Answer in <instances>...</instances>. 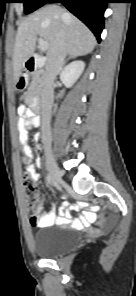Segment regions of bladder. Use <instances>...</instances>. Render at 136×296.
<instances>
[{
  "label": "bladder",
  "instance_id": "obj_1",
  "mask_svg": "<svg viewBox=\"0 0 136 296\" xmlns=\"http://www.w3.org/2000/svg\"><path fill=\"white\" fill-rule=\"evenodd\" d=\"M79 243L77 233L68 227L50 226L33 233L32 247L42 258H58Z\"/></svg>",
  "mask_w": 136,
  "mask_h": 296
}]
</instances>
